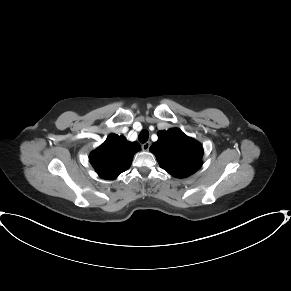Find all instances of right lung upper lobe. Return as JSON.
Returning a JSON list of instances; mask_svg holds the SVG:
<instances>
[{"mask_svg": "<svg viewBox=\"0 0 291 291\" xmlns=\"http://www.w3.org/2000/svg\"><path fill=\"white\" fill-rule=\"evenodd\" d=\"M141 149L138 142H128L125 137L110 134L106 141L90 154V162L103 179L114 180L127 170L133 156Z\"/></svg>", "mask_w": 291, "mask_h": 291, "instance_id": "right-lung-upper-lobe-1", "label": "right lung upper lobe"}]
</instances>
